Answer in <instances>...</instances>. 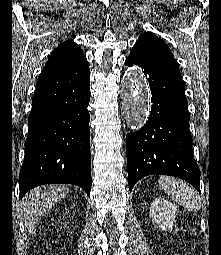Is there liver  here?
Segmentation results:
<instances>
[{
    "mask_svg": "<svg viewBox=\"0 0 221 255\" xmlns=\"http://www.w3.org/2000/svg\"><path fill=\"white\" fill-rule=\"evenodd\" d=\"M69 193L67 185L41 186L30 190L20 204V215L31 235L41 217Z\"/></svg>",
    "mask_w": 221,
    "mask_h": 255,
    "instance_id": "1",
    "label": "liver"
}]
</instances>
